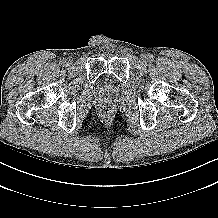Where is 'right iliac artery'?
Instances as JSON below:
<instances>
[{
	"label": "right iliac artery",
	"instance_id": "obj_1",
	"mask_svg": "<svg viewBox=\"0 0 218 218\" xmlns=\"http://www.w3.org/2000/svg\"><path fill=\"white\" fill-rule=\"evenodd\" d=\"M60 64H61V65H65V59H62V60L60 61Z\"/></svg>",
	"mask_w": 218,
	"mask_h": 218
}]
</instances>
